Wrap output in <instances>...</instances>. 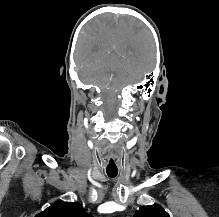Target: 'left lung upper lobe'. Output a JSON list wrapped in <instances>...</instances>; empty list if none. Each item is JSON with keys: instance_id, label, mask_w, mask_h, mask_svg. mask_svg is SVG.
<instances>
[{"instance_id": "5c2ea615", "label": "left lung upper lobe", "mask_w": 219, "mask_h": 217, "mask_svg": "<svg viewBox=\"0 0 219 217\" xmlns=\"http://www.w3.org/2000/svg\"><path fill=\"white\" fill-rule=\"evenodd\" d=\"M134 217H170L169 214L158 204L141 206Z\"/></svg>"}]
</instances>
